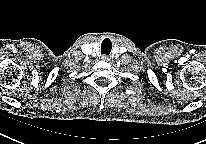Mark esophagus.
<instances>
[{"label":"esophagus","instance_id":"esophagus-1","mask_svg":"<svg viewBox=\"0 0 206 144\" xmlns=\"http://www.w3.org/2000/svg\"><path fill=\"white\" fill-rule=\"evenodd\" d=\"M101 59H102L103 61H109V60H110L109 56H107V55H103V56L101 57Z\"/></svg>","mask_w":206,"mask_h":144}]
</instances>
